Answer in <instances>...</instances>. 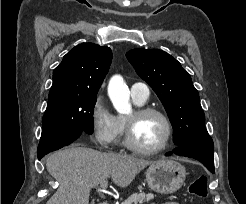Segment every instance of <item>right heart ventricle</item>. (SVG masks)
<instances>
[{
	"mask_svg": "<svg viewBox=\"0 0 246 204\" xmlns=\"http://www.w3.org/2000/svg\"><path fill=\"white\" fill-rule=\"evenodd\" d=\"M135 104L138 106H141L143 103H138L134 100ZM125 131V117L124 116H117V132L115 135V139L117 141H120L124 136Z\"/></svg>",
	"mask_w": 246,
	"mask_h": 204,
	"instance_id": "right-heart-ventricle-1",
	"label": "right heart ventricle"
}]
</instances>
